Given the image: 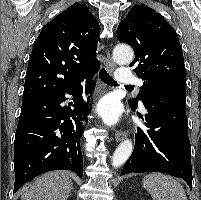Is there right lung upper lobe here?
<instances>
[{
	"label": "right lung upper lobe",
	"instance_id": "right-lung-upper-lobe-1",
	"mask_svg": "<svg viewBox=\"0 0 201 200\" xmlns=\"http://www.w3.org/2000/svg\"><path fill=\"white\" fill-rule=\"evenodd\" d=\"M99 32L87 5L78 2L47 23L31 52L23 100L67 91L94 74Z\"/></svg>",
	"mask_w": 201,
	"mask_h": 200
}]
</instances>
